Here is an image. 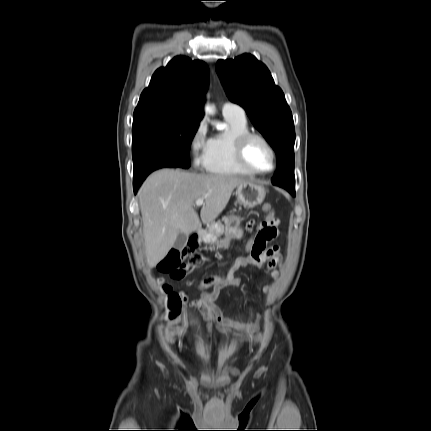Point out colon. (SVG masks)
I'll return each mask as SVG.
<instances>
[{
    "instance_id": "1",
    "label": "colon",
    "mask_w": 431,
    "mask_h": 431,
    "mask_svg": "<svg viewBox=\"0 0 431 431\" xmlns=\"http://www.w3.org/2000/svg\"><path fill=\"white\" fill-rule=\"evenodd\" d=\"M263 211L266 214L264 223H272L275 220L274 208L270 203L263 205ZM264 233H268L265 230ZM255 236L249 235L244 242V253L250 254L254 247ZM194 246L190 244L183 249H172L164 259L159 263V270L168 273L173 279H182L195 265L197 257L187 259L192 255ZM165 290L169 293V301L174 310H178L183 302V297L180 293L173 292L169 286H165Z\"/></svg>"
}]
</instances>
